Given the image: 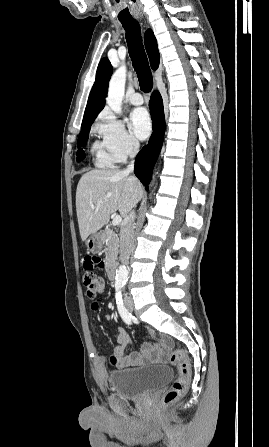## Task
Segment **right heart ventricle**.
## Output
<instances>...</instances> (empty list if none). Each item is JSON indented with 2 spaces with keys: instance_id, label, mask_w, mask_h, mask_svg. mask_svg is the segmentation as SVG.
<instances>
[{
  "instance_id": "right-heart-ventricle-1",
  "label": "right heart ventricle",
  "mask_w": 269,
  "mask_h": 447,
  "mask_svg": "<svg viewBox=\"0 0 269 447\" xmlns=\"http://www.w3.org/2000/svg\"><path fill=\"white\" fill-rule=\"evenodd\" d=\"M94 154V163L97 167H111L116 163L115 156L107 148L104 142H96L92 146Z\"/></svg>"
}]
</instances>
